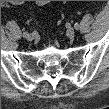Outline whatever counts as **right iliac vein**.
Wrapping results in <instances>:
<instances>
[{
    "mask_svg": "<svg viewBox=\"0 0 109 109\" xmlns=\"http://www.w3.org/2000/svg\"><path fill=\"white\" fill-rule=\"evenodd\" d=\"M25 38H26L28 41H32V40L35 38V36H34V34H32V33H28Z\"/></svg>",
    "mask_w": 109,
    "mask_h": 109,
    "instance_id": "obj_1",
    "label": "right iliac vein"
}]
</instances>
